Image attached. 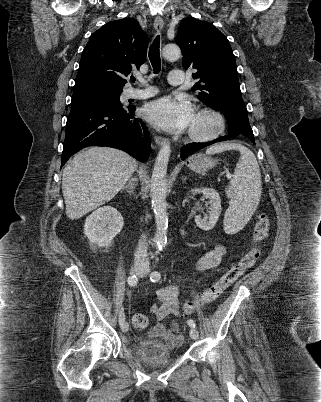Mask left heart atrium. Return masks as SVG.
Returning <instances> with one entry per match:
<instances>
[{"label":"left heart atrium","mask_w":321,"mask_h":402,"mask_svg":"<svg viewBox=\"0 0 321 402\" xmlns=\"http://www.w3.org/2000/svg\"><path fill=\"white\" fill-rule=\"evenodd\" d=\"M143 113L152 125L171 132L188 128L194 115L188 101L169 97L148 103Z\"/></svg>","instance_id":"1"}]
</instances>
